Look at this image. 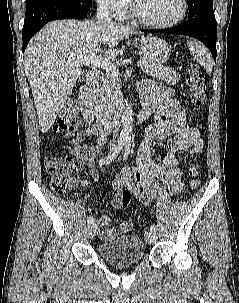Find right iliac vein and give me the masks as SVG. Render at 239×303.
Returning <instances> with one entry per match:
<instances>
[{
	"label": "right iliac vein",
	"mask_w": 239,
	"mask_h": 303,
	"mask_svg": "<svg viewBox=\"0 0 239 303\" xmlns=\"http://www.w3.org/2000/svg\"><path fill=\"white\" fill-rule=\"evenodd\" d=\"M97 229L98 227L95 223L90 224L87 228L88 238H93L97 232Z\"/></svg>",
	"instance_id": "1"
}]
</instances>
